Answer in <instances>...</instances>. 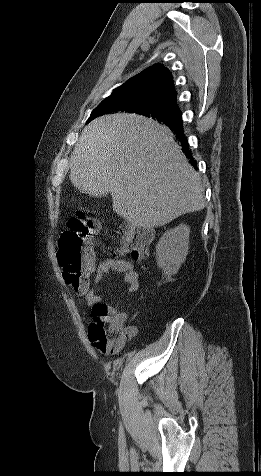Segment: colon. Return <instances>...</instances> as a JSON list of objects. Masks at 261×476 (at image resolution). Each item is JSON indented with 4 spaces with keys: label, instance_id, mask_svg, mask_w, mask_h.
<instances>
[{
    "label": "colon",
    "instance_id": "5ec220e1",
    "mask_svg": "<svg viewBox=\"0 0 261 476\" xmlns=\"http://www.w3.org/2000/svg\"><path fill=\"white\" fill-rule=\"evenodd\" d=\"M68 228L59 239L58 259L63 268L65 282L76 291L87 287L93 267L91 239L99 226L82 212L72 217ZM120 253L129 254L132 259H141L151 239L149 230L131 225L119 227ZM108 307L101 303L93 309V321L89 326L92 344L103 353H112L125 343V334L108 326Z\"/></svg>",
    "mask_w": 261,
    "mask_h": 476
}]
</instances>
